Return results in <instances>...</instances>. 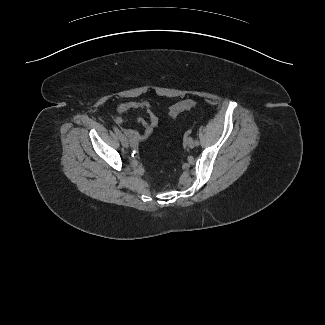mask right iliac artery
I'll use <instances>...</instances> for the list:
<instances>
[{"mask_svg": "<svg viewBox=\"0 0 325 325\" xmlns=\"http://www.w3.org/2000/svg\"><path fill=\"white\" fill-rule=\"evenodd\" d=\"M113 130L116 133V135L120 138L121 135H122V133L120 132V130L117 127H115V126H113Z\"/></svg>", "mask_w": 325, "mask_h": 325, "instance_id": "obj_1", "label": "right iliac artery"}]
</instances>
